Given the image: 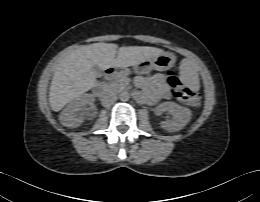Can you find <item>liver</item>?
<instances>
[{
    "mask_svg": "<svg viewBox=\"0 0 260 202\" xmlns=\"http://www.w3.org/2000/svg\"><path fill=\"white\" fill-rule=\"evenodd\" d=\"M117 44L94 43L83 45L64 57L56 66L50 91L49 103L53 111H60L67 103L90 90L96 82L92 70L113 66L126 68L156 57L164 51L148 46H125L117 50Z\"/></svg>",
    "mask_w": 260,
    "mask_h": 202,
    "instance_id": "liver-1",
    "label": "liver"
}]
</instances>
